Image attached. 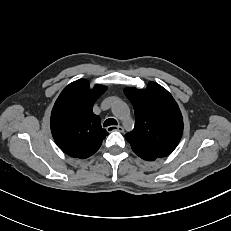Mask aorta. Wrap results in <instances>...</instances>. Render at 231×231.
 Here are the masks:
<instances>
[{
  "label": "aorta",
  "instance_id": "1",
  "mask_svg": "<svg viewBox=\"0 0 231 231\" xmlns=\"http://www.w3.org/2000/svg\"><path fill=\"white\" fill-rule=\"evenodd\" d=\"M128 110L127 104L123 101H116L112 106L113 113L122 120L127 118Z\"/></svg>",
  "mask_w": 231,
  "mask_h": 231
}]
</instances>
